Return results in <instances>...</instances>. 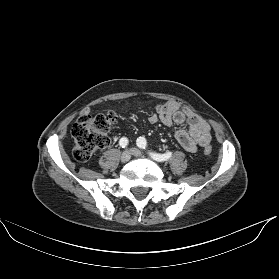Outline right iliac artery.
Listing matches in <instances>:
<instances>
[{"label": "right iliac artery", "mask_w": 279, "mask_h": 279, "mask_svg": "<svg viewBox=\"0 0 279 279\" xmlns=\"http://www.w3.org/2000/svg\"><path fill=\"white\" fill-rule=\"evenodd\" d=\"M119 145L122 148H125L128 145V139L126 137H122L119 141Z\"/></svg>", "instance_id": "right-iliac-artery-1"}]
</instances>
